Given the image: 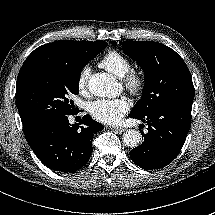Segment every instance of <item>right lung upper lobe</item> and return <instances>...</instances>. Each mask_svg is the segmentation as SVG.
Masks as SVG:
<instances>
[{
  "instance_id": "cb5924a9",
  "label": "right lung upper lobe",
  "mask_w": 215,
  "mask_h": 215,
  "mask_svg": "<svg viewBox=\"0 0 215 215\" xmlns=\"http://www.w3.org/2000/svg\"><path fill=\"white\" fill-rule=\"evenodd\" d=\"M96 42V41H95ZM95 42L91 41H56L44 44L35 49L23 63L18 77L17 85L21 84L25 79L33 74L48 68L67 58L70 53L77 49L88 47ZM24 132H28L30 128H23Z\"/></svg>"
}]
</instances>
